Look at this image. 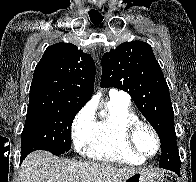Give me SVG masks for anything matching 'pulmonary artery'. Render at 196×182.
<instances>
[{"label": "pulmonary artery", "instance_id": "obj_1", "mask_svg": "<svg viewBox=\"0 0 196 182\" xmlns=\"http://www.w3.org/2000/svg\"><path fill=\"white\" fill-rule=\"evenodd\" d=\"M110 98H119L125 101H130V97L127 93L122 92V91H118L116 89H112L109 92Z\"/></svg>", "mask_w": 196, "mask_h": 182}]
</instances>
